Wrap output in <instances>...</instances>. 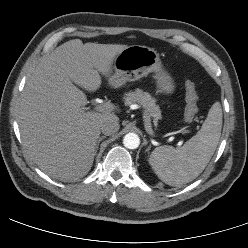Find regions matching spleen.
<instances>
[{
  "label": "spleen",
  "mask_w": 248,
  "mask_h": 248,
  "mask_svg": "<svg viewBox=\"0 0 248 248\" xmlns=\"http://www.w3.org/2000/svg\"><path fill=\"white\" fill-rule=\"evenodd\" d=\"M222 109L215 102L201 129L182 147L160 146L153 150L149 164L155 174L170 186H182L196 179L205 169L219 143Z\"/></svg>",
  "instance_id": "obj_1"
}]
</instances>
